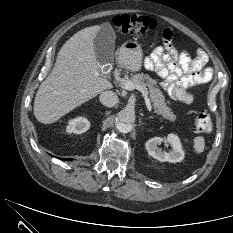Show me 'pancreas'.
I'll return each mask as SVG.
<instances>
[{
  "mask_svg": "<svg viewBox=\"0 0 233 233\" xmlns=\"http://www.w3.org/2000/svg\"><path fill=\"white\" fill-rule=\"evenodd\" d=\"M126 81H131L134 85H142L145 88L147 87L149 90L150 100L153 104L154 112L171 122L176 120V115L166 105L164 95L158 87L157 82L149 75L138 73L133 75L131 78L124 77L120 80L119 85L123 88Z\"/></svg>",
  "mask_w": 233,
  "mask_h": 233,
  "instance_id": "1",
  "label": "pancreas"
}]
</instances>
